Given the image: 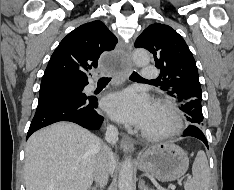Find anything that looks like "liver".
<instances>
[{
  "instance_id": "liver-1",
  "label": "liver",
  "mask_w": 234,
  "mask_h": 190,
  "mask_svg": "<svg viewBox=\"0 0 234 190\" xmlns=\"http://www.w3.org/2000/svg\"><path fill=\"white\" fill-rule=\"evenodd\" d=\"M103 146L74 123L58 122L35 132L25 148L26 190H88ZM115 166L113 155L110 171Z\"/></svg>"
}]
</instances>
